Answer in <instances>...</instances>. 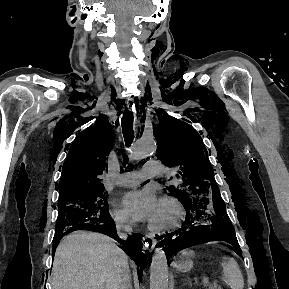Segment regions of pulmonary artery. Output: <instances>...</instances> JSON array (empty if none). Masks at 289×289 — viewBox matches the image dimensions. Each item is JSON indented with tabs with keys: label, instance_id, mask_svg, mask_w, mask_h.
<instances>
[{
	"label": "pulmonary artery",
	"instance_id": "e3ab8cb5",
	"mask_svg": "<svg viewBox=\"0 0 289 289\" xmlns=\"http://www.w3.org/2000/svg\"><path fill=\"white\" fill-rule=\"evenodd\" d=\"M165 168L159 161H148L141 170L122 173L116 180L123 187H135L144 180L164 173Z\"/></svg>",
	"mask_w": 289,
	"mask_h": 289
}]
</instances>
